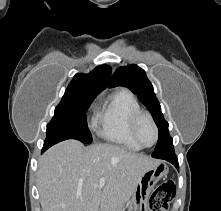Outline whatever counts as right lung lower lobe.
<instances>
[{
    "instance_id": "obj_1",
    "label": "right lung lower lobe",
    "mask_w": 221,
    "mask_h": 211,
    "mask_svg": "<svg viewBox=\"0 0 221 211\" xmlns=\"http://www.w3.org/2000/svg\"><path fill=\"white\" fill-rule=\"evenodd\" d=\"M49 147L48 146H43V149H42V152H44L46 149H48Z\"/></svg>"
}]
</instances>
